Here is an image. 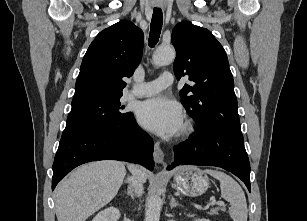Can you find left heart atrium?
Masks as SVG:
<instances>
[{"instance_id":"1","label":"left heart atrium","mask_w":307,"mask_h":221,"mask_svg":"<svg viewBox=\"0 0 307 221\" xmlns=\"http://www.w3.org/2000/svg\"><path fill=\"white\" fill-rule=\"evenodd\" d=\"M139 123L163 137L177 134L183 126L181 107L163 96L142 102L137 111Z\"/></svg>"}]
</instances>
